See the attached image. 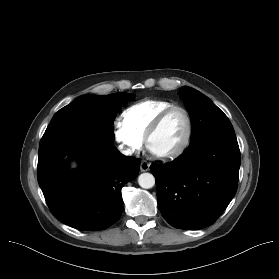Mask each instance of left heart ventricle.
I'll list each match as a JSON object with an SVG mask.
<instances>
[{
    "mask_svg": "<svg viewBox=\"0 0 279 279\" xmlns=\"http://www.w3.org/2000/svg\"><path fill=\"white\" fill-rule=\"evenodd\" d=\"M186 119L181 111L171 112L150 140L154 152L164 153L176 148L186 133Z\"/></svg>",
    "mask_w": 279,
    "mask_h": 279,
    "instance_id": "b2bd125f",
    "label": "left heart ventricle"
}]
</instances>
